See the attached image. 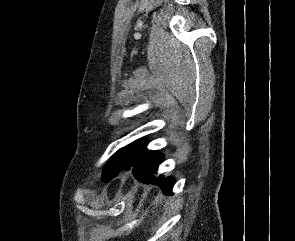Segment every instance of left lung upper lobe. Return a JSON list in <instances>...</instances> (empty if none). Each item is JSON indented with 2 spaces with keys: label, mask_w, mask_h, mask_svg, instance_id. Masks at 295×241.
<instances>
[{
  "label": "left lung upper lobe",
  "mask_w": 295,
  "mask_h": 241,
  "mask_svg": "<svg viewBox=\"0 0 295 241\" xmlns=\"http://www.w3.org/2000/svg\"><path fill=\"white\" fill-rule=\"evenodd\" d=\"M147 144L148 142L146 139H138L119 149L106 164L102 173V180L104 182H109L124 167L140 157L147 150Z\"/></svg>",
  "instance_id": "obj_1"
}]
</instances>
